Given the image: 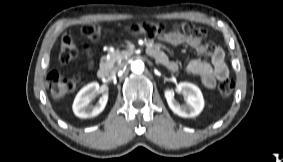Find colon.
<instances>
[{
    "label": "colon",
    "instance_id": "1",
    "mask_svg": "<svg viewBox=\"0 0 283 162\" xmlns=\"http://www.w3.org/2000/svg\"><path fill=\"white\" fill-rule=\"evenodd\" d=\"M165 24L159 22H142L130 26V31L134 34H140L147 38L160 36L165 31ZM83 35L91 41H98L102 34V27L98 23L86 24L82 27ZM77 48L70 34L62 37L61 48L59 52V61L62 64H68L77 57ZM48 85L54 98H62L73 92L79 82L77 76H68L59 70L51 71L48 74ZM235 82L227 78L219 83L218 91L224 98H229L233 94Z\"/></svg>",
    "mask_w": 283,
    "mask_h": 162
}]
</instances>
